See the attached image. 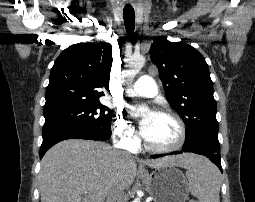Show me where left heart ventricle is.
<instances>
[{"instance_id":"left-heart-ventricle-1","label":"left heart ventricle","mask_w":255,"mask_h":202,"mask_svg":"<svg viewBox=\"0 0 255 202\" xmlns=\"http://www.w3.org/2000/svg\"><path fill=\"white\" fill-rule=\"evenodd\" d=\"M146 117H149V123L143 135L150 144L166 147L177 141L178 126L171 117L156 113H149Z\"/></svg>"}]
</instances>
